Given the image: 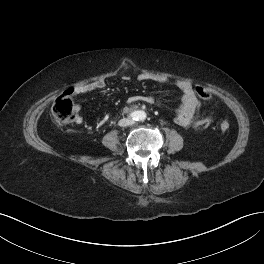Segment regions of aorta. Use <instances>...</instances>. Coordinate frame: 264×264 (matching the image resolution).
Returning a JSON list of instances; mask_svg holds the SVG:
<instances>
[{
  "label": "aorta",
  "instance_id": "762f6f07",
  "mask_svg": "<svg viewBox=\"0 0 264 264\" xmlns=\"http://www.w3.org/2000/svg\"><path fill=\"white\" fill-rule=\"evenodd\" d=\"M136 117L138 120H144L146 118V113L144 111H138Z\"/></svg>",
  "mask_w": 264,
  "mask_h": 264
}]
</instances>
